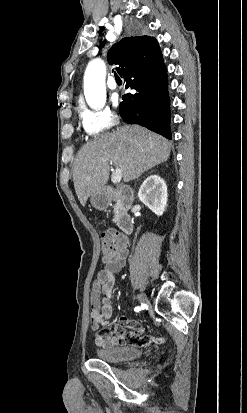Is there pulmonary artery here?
Instances as JSON below:
<instances>
[{
  "instance_id": "pulmonary-artery-1",
  "label": "pulmonary artery",
  "mask_w": 247,
  "mask_h": 413,
  "mask_svg": "<svg viewBox=\"0 0 247 413\" xmlns=\"http://www.w3.org/2000/svg\"><path fill=\"white\" fill-rule=\"evenodd\" d=\"M107 86L110 90H117L118 89V84L114 78V76H109L107 80Z\"/></svg>"
}]
</instances>
